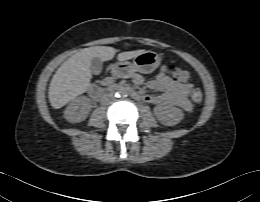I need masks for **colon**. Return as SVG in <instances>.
Masks as SVG:
<instances>
[{
  "instance_id": "obj_1",
  "label": "colon",
  "mask_w": 260,
  "mask_h": 202,
  "mask_svg": "<svg viewBox=\"0 0 260 202\" xmlns=\"http://www.w3.org/2000/svg\"><path fill=\"white\" fill-rule=\"evenodd\" d=\"M169 74L172 75L174 80L178 82H188L191 79V74L188 71L177 68L175 65H169L167 68ZM191 100L194 103H200L203 98L202 91L198 88L191 91Z\"/></svg>"
}]
</instances>
